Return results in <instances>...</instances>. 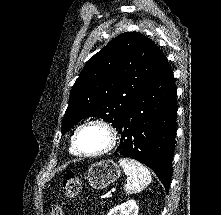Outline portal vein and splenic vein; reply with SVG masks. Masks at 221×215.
Segmentation results:
<instances>
[{
  "mask_svg": "<svg viewBox=\"0 0 221 215\" xmlns=\"http://www.w3.org/2000/svg\"><path fill=\"white\" fill-rule=\"evenodd\" d=\"M114 191H115V189L111 190V192H114ZM111 196H112L111 193L107 195V197H111Z\"/></svg>",
  "mask_w": 221,
  "mask_h": 215,
  "instance_id": "1",
  "label": "portal vein and splenic vein"
}]
</instances>
